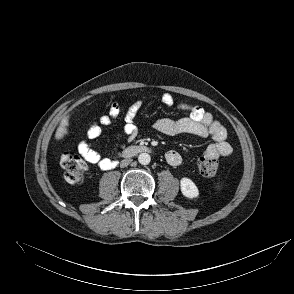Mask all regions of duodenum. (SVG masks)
<instances>
[{"mask_svg": "<svg viewBox=\"0 0 294 294\" xmlns=\"http://www.w3.org/2000/svg\"><path fill=\"white\" fill-rule=\"evenodd\" d=\"M147 148L144 146H140V145H133L128 147L125 152H124V156L129 158L132 157L140 152L145 151Z\"/></svg>", "mask_w": 294, "mask_h": 294, "instance_id": "obj_1", "label": "duodenum"}]
</instances>
